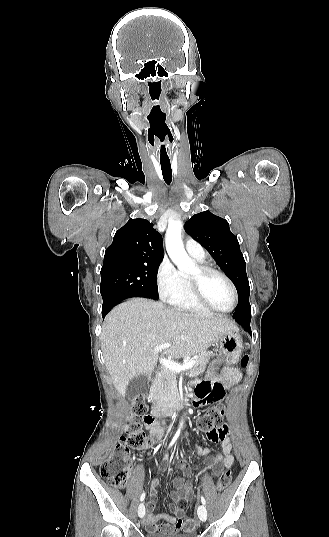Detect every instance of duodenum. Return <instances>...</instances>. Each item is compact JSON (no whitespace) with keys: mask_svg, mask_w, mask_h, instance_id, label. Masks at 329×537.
Wrapping results in <instances>:
<instances>
[{"mask_svg":"<svg viewBox=\"0 0 329 537\" xmlns=\"http://www.w3.org/2000/svg\"><path fill=\"white\" fill-rule=\"evenodd\" d=\"M189 396L183 393L180 399L176 402H167L158 398H154L150 404V413L153 417H161L163 415H172L180 407L181 403L187 401Z\"/></svg>","mask_w":329,"mask_h":537,"instance_id":"obj_1","label":"duodenum"}]
</instances>
